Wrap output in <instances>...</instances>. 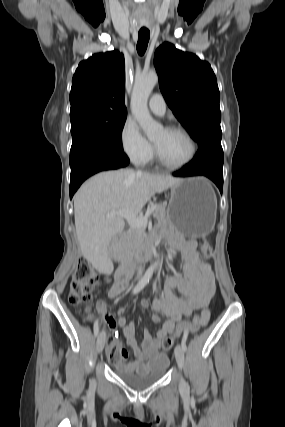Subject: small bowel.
I'll list each match as a JSON object with an SVG mask.
<instances>
[{"mask_svg":"<svg viewBox=\"0 0 285 427\" xmlns=\"http://www.w3.org/2000/svg\"><path fill=\"white\" fill-rule=\"evenodd\" d=\"M169 241L171 247L180 252L182 257V274L167 278L165 282V296L150 303L142 300L140 307L148 308L152 306L154 315L152 320L160 321L163 316L161 328L153 335L150 331L144 332V338L140 342L135 336V326L132 322H127L122 316L125 309L118 308V319L108 312V304L99 301L96 305L98 312L102 315L103 321L114 330L117 326L122 328L123 335L128 346L132 349L135 360L127 362L128 352L117 344L120 353L119 361H113L108 353L111 347L107 346L106 353L110 362L126 370H136L145 372L149 368H156L163 364L168 366L167 357L160 352L161 341L172 334L175 323H181L190 317L194 310H202V325H206L210 311L208 305L215 294V277L210 264L200 260L197 252V243L194 240H186L177 234H170ZM127 281H115L108 291L111 299L120 295L127 287Z\"/></svg>","mask_w":285,"mask_h":427,"instance_id":"c3829d8e","label":"small bowel"}]
</instances>
